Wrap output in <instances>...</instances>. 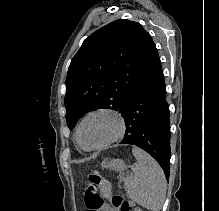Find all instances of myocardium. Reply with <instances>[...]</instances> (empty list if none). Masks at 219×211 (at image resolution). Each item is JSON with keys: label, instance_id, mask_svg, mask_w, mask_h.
<instances>
[{"label": "myocardium", "instance_id": "obj_1", "mask_svg": "<svg viewBox=\"0 0 219 211\" xmlns=\"http://www.w3.org/2000/svg\"><path fill=\"white\" fill-rule=\"evenodd\" d=\"M97 114H108V115L113 116L116 119L117 128H116L115 133L109 139H107L105 142H103L102 144H100L98 146L87 148L81 142V137H80L81 128H82L84 122L89 117L97 115ZM125 129H126V119H125L124 115L119 110H117L115 108H111V107H99V108H96V109L89 111L88 113H86L83 116V118L81 119V121L78 124L77 130H76V137H77L79 145L82 148H84L85 150H89V151H95V150L104 149L107 146L120 140L125 133Z\"/></svg>", "mask_w": 219, "mask_h": 211}]
</instances>
